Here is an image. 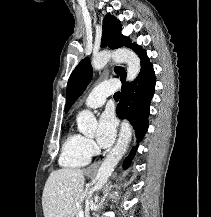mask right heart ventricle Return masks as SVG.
Returning <instances> with one entry per match:
<instances>
[{
  "mask_svg": "<svg viewBox=\"0 0 211 217\" xmlns=\"http://www.w3.org/2000/svg\"><path fill=\"white\" fill-rule=\"evenodd\" d=\"M86 138L76 132H70L62 145L59 163L63 167H83L90 161V153L86 149Z\"/></svg>",
  "mask_w": 211,
  "mask_h": 217,
  "instance_id": "1",
  "label": "right heart ventricle"
}]
</instances>
